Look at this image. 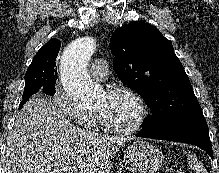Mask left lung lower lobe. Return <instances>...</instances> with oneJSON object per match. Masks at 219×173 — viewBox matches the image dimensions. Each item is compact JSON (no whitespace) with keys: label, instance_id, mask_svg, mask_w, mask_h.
I'll use <instances>...</instances> for the list:
<instances>
[{"label":"left lung lower lobe","instance_id":"1","mask_svg":"<svg viewBox=\"0 0 219 173\" xmlns=\"http://www.w3.org/2000/svg\"><path fill=\"white\" fill-rule=\"evenodd\" d=\"M137 136L189 143L202 148L213 159V151L206 121L190 123L162 134L139 132Z\"/></svg>","mask_w":219,"mask_h":173}]
</instances>
